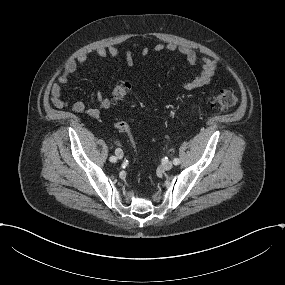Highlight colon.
Segmentation results:
<instances>
[{
    "instance_id": "colon-1",
    "label": "colon",
    "mask_w": 285,
    "mask_h": 285,
    "mask_svg": "<svg viewBox=\"0 0 285 285\" xmlns=\"http://www.w3.org/2000/svg\"><path fill=\"white\" fill-rule=\"evenodd\" d=\"M131 83L128 81H122L119 83L110 95V100L113 104L120 103L126 99L131 91ZM238 98L234 91L232 90H221L216 95H214L210 100V106L212 109L223 113L231 110L237 104ZM116 129L126 136L129 137L131 143L134 145V141L131 136L130 128L128 124L124 121H118L115 123Z\"/></svg>"
}]
</instances>
